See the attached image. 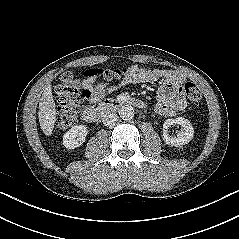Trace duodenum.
<instances>
[{"label": "duodenum", "instance_id": "obj_1", "mask_svg": "<svg viewBox=\"0 0 239 239\" xmlns=\"http://www.w3.org/2000/svg\"><path fill=\"white\" fill-rule=\"evenodd\" d=\"M124 106H133L138 109H144L146 104L144 101L136 98L121 97L116 99H106L96 107L86 106L81 112V117L85 122L96 123L106 113L119 109Z\"/></svg>", "mask_w": 239, "mask_h": 239}]
</instances>
